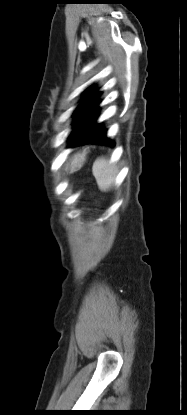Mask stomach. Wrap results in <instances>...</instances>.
<instances>
[{
    "label": "stomach",
    "instance_id": "obj_1",
    "mask_svg": "<svg viewBox=\"0 0 187 415\" xmlns=\"http://www.w3.org/2000/svg\"><path fill=\"white\" fill-rule=\"evenodd\" d=\"M85 160H86V153L85 152L82 153V154H80V153L76 154L74 156L73 160H72V164H71L72 170H75L76 168L82 167Z\"/></svg>",
    "mask_w": 187,
    "mask_h": 415
}]
</instances>
